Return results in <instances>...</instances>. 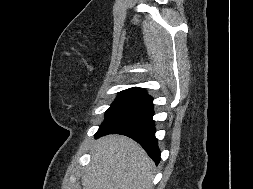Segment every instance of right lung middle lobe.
Wrapping results in <instances>:
<instances>
[{"label": "right lung middle lobe", "instance_id": "1", "mask_svg": "<svg viewBox=\"0 0 253 189\" xmlns=\"http://www.w3.org/2000/svg\"><path fill=\"white\" fill-rule=\"evenodd\" d=\"M146 96V92L137 90L128 89L120 92L111 107L106 111V118L118 110L145 98Z\"/></svg>", "mask_w": 253, "mask_h": 189}]
</instances>
